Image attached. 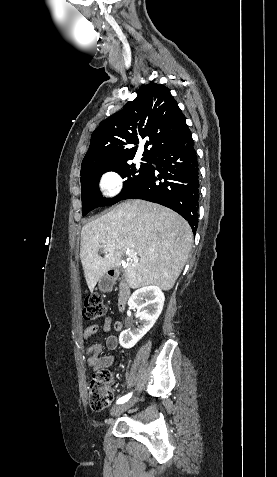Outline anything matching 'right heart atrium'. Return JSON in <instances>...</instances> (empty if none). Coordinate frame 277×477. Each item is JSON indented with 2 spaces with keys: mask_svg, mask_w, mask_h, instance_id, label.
Listing matches in <instances>:
<instances>
[{
  "mask_svg": "<svg viewBox=\"0 0 277 477\" xmlns=\"http://www.w3.org/2000/svg\"><path fill=\"white\" fill-rule=\"evenodd\" d=\"M122 184V177L114 170L104 172L99 179L100 188L108 197L118 194L122 188Z\"/></svg>",
  "mask_w": 277,
  "mask_h": 477,
  "instance_id": "right-heart-atrium-1",
  "label": "right heart atrium"
}]
</instances>
